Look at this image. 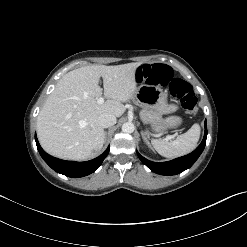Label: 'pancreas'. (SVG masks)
Returning a JSON list of instances; mask_svg holds the SVG:
<instances>
[{
    "label": "pancreas",
    "mask_w": 247,
    "mask_h": 247,
    "mask_svg": "<svg viewBox=\"0 0 247 247\" xmlns=\"http://www.w3.org/2000/svg\"><path fill=\"white\" fill-rule=\"evenodd\" d=\"M161 114L158 111H154L153 109L145 108L140 112V116L143 122L145 123H157L161 121Z\"/></svg>",
    "instance_id": "pancreas-1"
}]
</instances>
